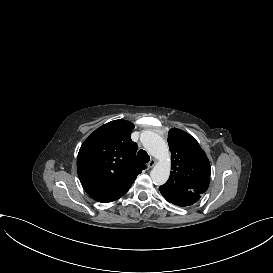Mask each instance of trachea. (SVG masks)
<instances>
[{
    "label": "trachea",
    "instance_id": "obj_1",
    "mask_svg": "<svg viewBox=\"0 0 273 273\" xmlns=\"http://www.w3.org/2000/svg\"><path fill=\"white\" fill-rule=\"evenodd\" d=\"M138 160L142 163H148L150 160V156L147 154V152L143 149L138 151L137 154Z\"/></svg>",
    "mask_w": 273,
    "mask_h": 273
}]
</instances>
